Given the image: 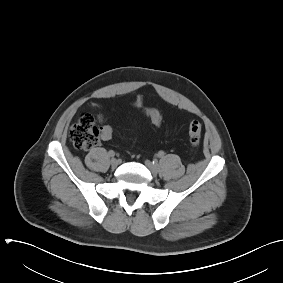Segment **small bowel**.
I'll return each mask as SVG.
<instances>
[{
  "instance_id": "c3829d8e",
  "label": "small bowel",
  "mask_w": 283,
  "mask_h": 283,
  "mask_svg": "<svg viewBox=\"0 0 283 283\" xmlns=\"http://www.w3.org/2000/svg\"><path fill=\"white\" fill-rule=\"evenodd\" d=\"M141 104H142V97L139 96V97L136 99V101H135V105L139 107V106H141ZM92 106H93L95 109L98 110V120H99L100 122H103L104 116H103V114L100 112V109H101L100 106H99L98 104H96V103H93Z\"/></svg>"
}]
</instances>
